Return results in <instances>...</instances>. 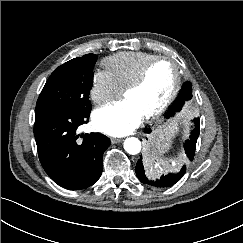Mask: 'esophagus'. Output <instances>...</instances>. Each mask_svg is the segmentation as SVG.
<instances>
[{
    "label": "esophagus",
    "instance_id": "esophagus-1",
    "mask_svg": "<svg viewBox=\"0 0 243 243\" xmlns=\"http://www.w3.org/2000/svg\"><path fill=\"white\" fill-rule=\"evenodd\" d=\"M110 140L113 144H117V143H120L122 141L121 138H116V137H111Z\"/></svg>",
    "mask_w": 243,
    "mask_h": 243
}]
</instances>
